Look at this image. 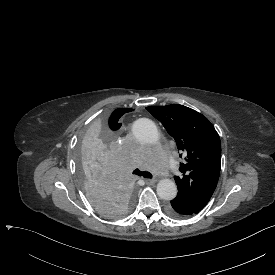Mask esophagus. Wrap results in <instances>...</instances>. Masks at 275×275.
Masks as SVG:
<instances>
[{
	"instance_id": "1",
	"label": "esophagus",
	"mask_w": 275,
	"mask_h": 275,
	"mask_svg": "<svg viewBox=\"0 0 275 275\" xmlns=\"http://www.w3.org/2000/svg\"><path fill=\"white\" fill-rule=\"evenodd\" d=\"M145 182H146L147 184H153V183L156 182V180H154V179H145Z\"/></svg>"
}]
</instances>
